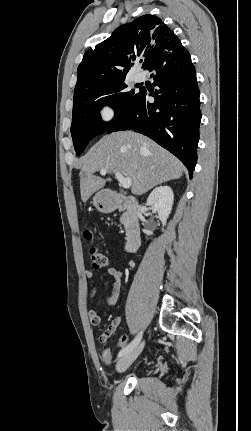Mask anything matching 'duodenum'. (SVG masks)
I'll return each instance as SVG.
<instances>
[{
  "instance_id": "obj_1",
  "label": "duodenum",
  "mask_w": 251,
  "mask_h": 431,
  "mask_svg": "<svg viewBox=\"0 0 251 431\" xmlns=\"http://www.w3.org/2000/svg\"><path fill=\"white\" fill-rule=\"evenodd\" d=\"M112 209L125 211V248L134 251L140 245V222L138 202L129 196L116 194L111 199Z\"/></svg>"
}]
</instances>
